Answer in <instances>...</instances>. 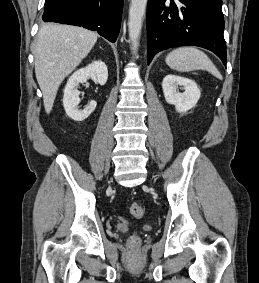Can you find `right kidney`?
Returning a JSON list of instances; mask_svg holds the SVG:
<instances>
[{
  "mask_svg": "<svg viewBox=\"0 0 259 283\" xmlns=\"http://www.w3.org/2000/svg\"><path fill=\"white\" fill-rule=\"evenodd\" d=\"M88 78H92L96 83L105 85L108 79L107 66L102 61H94L85 68L79 69L68 79L64 90L63 105L66 114L74 121L85 120L96 108L97 103H90L83 109H78L80 102V92L77 87L80 83H85Z\"/></svg>",
  "mask_w": 259,
  "mask_h": 283,
  "instance_id": "right-kidney-1",
  "label": "right kidney"
}]
</instances>
